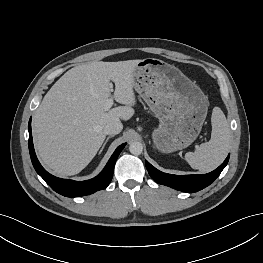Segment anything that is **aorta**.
I'll use <instances>...</instances> for the list:
<instances>
[{"label": "aorta", "mask_w": 263, "mask_h": 263, "mask_svg": "<svg viewBox=\"0 0 263 263\" xmlns=\"http://www.w3.org/2000/svg\"><path fill=\"white\" fill-rule=\"evenodd\" d=\"M129 151L133 155H140L143 151V145L140 142H132L129 146Z\"/></svg>", "instance_id": "1"}]
</instances>
